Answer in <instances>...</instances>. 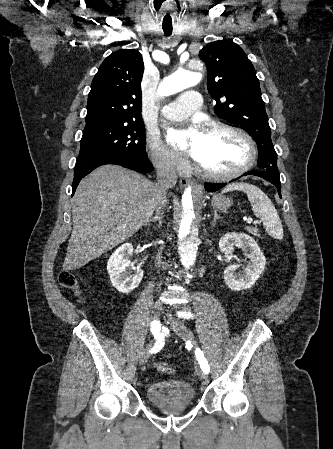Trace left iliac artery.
Returning a JSON list of instances; mask_svg holds the SVG:
<instances>
[{"label": "left iliac artery", "instance_id": "44dca946", "mask_svg": "<svg viewBox=\"0 0 333 449\" xmlns=\"http://www.w3.org/2000/svg\"><path fill=\"white\" fill-rule=\"evenodd\" d=\"M179 316H182V317H183V316H184V317H191L192 314H191L190 312H189V313L181 312V313L179 314ZM195 356H196V358H197V360H198V362H199V364H200V366H201L202 371H203L205 374H208L209 371H210V367H209L208 361L206 360V358H205L203 352H202L199 348H196V350H195Z\"/></svg>", "mask_w": 333, "mask_h": 449}]
</instances>
